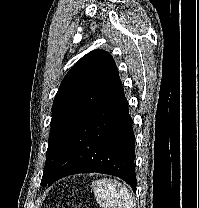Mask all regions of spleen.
<instances>
[{"mask_svg": "<svg viewBox=\"0 0 199 208\" xmlns=\"http://www.w3.org/2000/svg\"><path fill=\"white\" fill-rule=\"evenodd\" d=\"M98 204L103 208H133L129 189L117 180L99 179L92 182Z\"/></svg>", "mask_w": 199, "mask_h": 208, "instance_id": "1", "label": "spleen"}]
</instances>
